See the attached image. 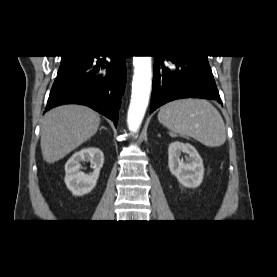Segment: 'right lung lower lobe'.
Listing matches in <instances>:
<instances>
[{"mask_svg":"<svg viewBox=\"0 0 277 277\" xmlns=\"http://www.w3.org/2000/svg\"><path fill=\"white\" fill-rule=\"evenodd\" d=\"M85 56L80 62L57 75L46 110L69 103L86 105L115 125L126 82L125 56Z\"/></svg>","mask_w":277,"mask_h":277,"instance_id":"obj_1","label":"right lung lower lobe"}]
</instances>
